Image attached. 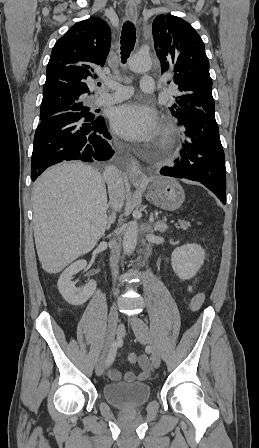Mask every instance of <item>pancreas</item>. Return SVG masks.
Here are the masks:
<instances>
[{
	"label": "pancreas",
	"instance_id": "pancreas-1",
	"mask_svg": "<svg viewBox=\"0 0 259 448\" xmlns=\"http://www.w3.org/2000/svg\"><path fill=\"white\" fill-rule=\"evenodd\" d=\"M175 228H182V230H187L190 226V222H181L179 220L178 224H174Z\"/></svg>",
	"mask_w": 259,
	"mask_h": 448
}]
</instances>
